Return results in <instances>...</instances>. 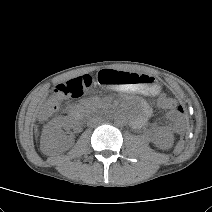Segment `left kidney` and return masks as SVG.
I'll use <instances>...</instances> for the list:
<instances>
[{"instance_id":"1","label":"left kidney","mask_w":212,"mask_h":212,"mask_svg":"<svg viewBox=\"0 0 212 212\" xmlns=\"http://www.w3.org/2000/svg\"><path fill=\"white\" fill-rule=\"evenodd\" d=\"M154 142L158 147L167 149L170 148L173 143V136L169 132H159L156 135Z\"/></svg>"}]
</instances>
